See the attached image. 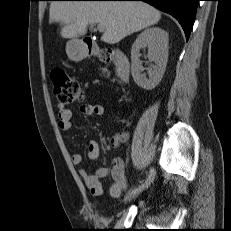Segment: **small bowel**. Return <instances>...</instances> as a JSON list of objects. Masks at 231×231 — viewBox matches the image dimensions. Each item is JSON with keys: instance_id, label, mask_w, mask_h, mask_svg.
Instances as JSON below:
<instances>
[{"instance_id": "small-bowel-1", "label": "small bowel", "mask_w": 231, "mask_h": 231, "mask_svg": "<svg viewBox=\"0 0 231 231\" xmlns=\"http://www.w3.org/2000/svg\"><path fill=\"white\" fill-rule=\"evenodd\" d=\"M80 112L85 116L98 117L104 112L103 106L99 104H84L80 107ZM72 112L64 106L59 107L58 127L62 131H70L72 128ZM127 139V134H119L115 136L111 144L118 146ZM88 157L90 160H97L100 157V145L96 140H92L88 145ZM71 162L73 165H80L82 155L80 153L71 154ZM79 175L85 182L87 188L93 196H101L103 194L102 179L111 177L112 182L108 187V194L113 198H119L124 190L128 188L125 166L120 158L113 159L112 168L97 167L93 173H89L86 169H80Z\"/></svg>"}]
</instances>
